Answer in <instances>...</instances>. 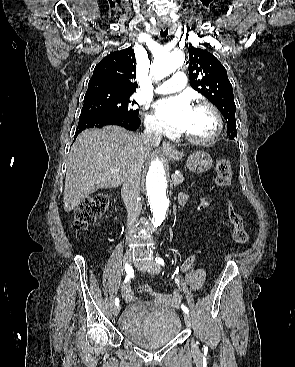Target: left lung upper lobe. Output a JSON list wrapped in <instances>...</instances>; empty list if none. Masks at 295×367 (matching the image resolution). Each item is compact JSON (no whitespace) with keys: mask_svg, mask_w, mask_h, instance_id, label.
<instances>
[{"mask_svg":"<svg viewBox=\"0 0 295 367\" xmlns=\"http://www.w3.org/2000/svg\"><path fill=\"white\" fill-rule=\"evenodd\" d=\"M189 77L193 89L213 103L227 122V136H237L233 88L228 79L227 71L211 53L189 48Z\"/></svg>","mask_w":295,"mask_h":367,"instance_id":"5c2ea615","label":"left lung upper lobe"}]
</instances>
